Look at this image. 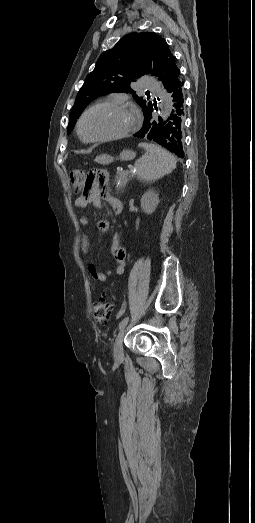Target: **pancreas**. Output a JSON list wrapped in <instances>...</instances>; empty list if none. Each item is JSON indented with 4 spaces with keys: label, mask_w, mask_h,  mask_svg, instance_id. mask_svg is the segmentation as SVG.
Returning a JSON list of instances; mask_svg holds the SVG:
<instances>
[{
    "label": "pancreas",
    "mask_w": 255,
    "mask_h": 523,
    "mask_svg": "<svg viewBox=\"0 0 255 523\" xmlns=\"http://www.w3.org/2000/svg\"><path fill=\"white\" fill-rule=\"evenodd\" d=\"M129 178V173L126 172H117L114 180V184H116V192L117 194H120V192H123Z\"/></svg>",
    "instance_id": "1"
}]
</instances>
